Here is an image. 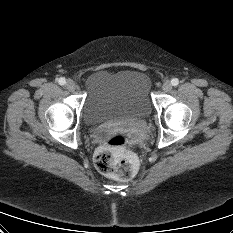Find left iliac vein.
<instances>
[{"label":"left iliac vein","mask_w":233,"mask_h":233,"mask_svg":"<svg viewBox=\"0 0 233 233\" xmlns=\"http://www.w3.org/2000/svg\"><path fill=\"white\" fill-rule=\"evenodd\" d=\"M162 89L165 92H169L172 89V85H171L170 81H165L162 85Z\"/></svg>","instance_id":"1"}]
</instances>
